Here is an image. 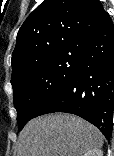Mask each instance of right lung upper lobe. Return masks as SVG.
<instances>
[{
    "instance_id": "1",
    "label": "right lung upper lobe",
    "mask_w": 114,
    "mask_h": 156,
    "mask_svg": "<svg viewBox=\"0 0 114 156\" xmlns=\"http://www.w3.org/2000/svg\"><path fill=\"white\" fill-rule=\"evenodd\" d=\"M107 15L99 0H44L19 29L11 81L37 62L79 45Z\"/></svg>"
}]
</instances>
